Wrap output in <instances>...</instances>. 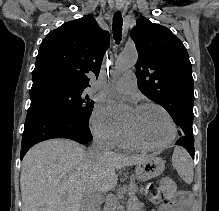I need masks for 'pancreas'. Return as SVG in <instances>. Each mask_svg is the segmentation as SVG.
I'll return each mask as SVG.
<instances>
[{"label": "pancreas", "mask_w": 219, "mask_h": 211, "mask_svg": "<svg viewBox=\"0 0 219 211\" xmlns=\"http://www.w3.org/2000/svg\"><path fill=\"white\" fill-rule=\"evenodd\" d=\"M127 211H138V207H142V202H137L136 199H127Z\"/></svg>", "instance_id": "obj_1"}]
</instances>
